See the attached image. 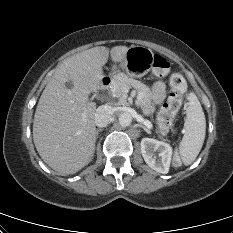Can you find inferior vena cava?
<instances>
[{
	"mask_svg": "<svg viewBox=\"0 0 233 233\" xmlns=\"http://www.w3.org/2000/svg\"><path fill=\"white\" fill-rule=\"evenodd\" d=\"M114 109L109 105H103L97 108L95 113L96 126L103 128L108 126L113 120Z\"/></svg>",
	"mask_w": 233,
	"mask_h": 233,
	"instance_id": "obj_1",
	"label": "inferior vena cava"
}]
</instances>
